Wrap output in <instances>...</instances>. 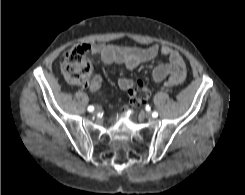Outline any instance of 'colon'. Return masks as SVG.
<instances>
[{
  "label": "colon",
  "mask_w": 245,
  "mask_h": 195,
  "mask_svg": "<svg viewBox=\"0 0 245 195\" xmlns=\"http://www.w3.org/2000/svg\"><path fill=\"white\" fill-rule=\"evenodd\" d=\"M85 46H75L68 50L63 57L61 70L66 80L72 84L86 85L89 81L92 64L88 58ZM151 89L143 81H137L130 90L129 107L143 104L150 96Z\"/></svg>",
  "instance_id": "1"
}]
</instances>
